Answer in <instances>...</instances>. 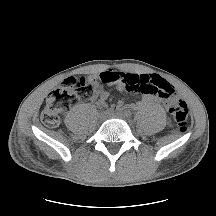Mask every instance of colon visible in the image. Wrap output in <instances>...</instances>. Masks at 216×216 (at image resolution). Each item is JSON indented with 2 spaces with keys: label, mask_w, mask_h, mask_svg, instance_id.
I'll return each mask as SVG.
<instances>
[{
  "label": "colon",
  "mask_w": 216,
  "mask_h": 216,
  "mask_svg": "<svg viewBox=\"0 0 216 216\" xmlns=\"http://www.w3.org/2000/svg\"><path fill=\"white\" fill-rule=\"evenodd\" d=\"M129 88L133 91L152 92L166 99L169 112L180 132L188 128L189 110L186 102L176 95L174 88L167 82L148 85L131 80ZM96 80L86 77H69L54 89L46 99L41 113V121L50 127L58 125L63 113L78 104L79 101L89 99L96 92Z\"/></svg>",
  "instance_id": "obj_1"
}]
</instances>
